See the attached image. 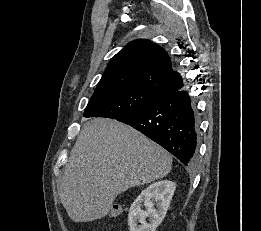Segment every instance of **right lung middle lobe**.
I'll return each mask as SVG.
<instances>
[{"mask_svg": "<svg viewBox=\"0 0 261 231\" xmlns=\"http://www.w3.org/2000/svg\"><path fill=\"white\" fill-rule=\"evenodd\" d=\"M158 99L154 94L134 86L98 91L92 95L84 116L119 119L147 107Z\"/></svg>", "mask_w": 261, "mask_h": 231, "instance_id": "obj_1", "label": "right lung middle lobe"}]
</instances>
